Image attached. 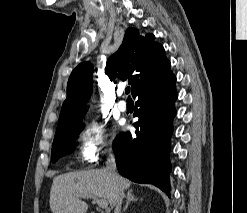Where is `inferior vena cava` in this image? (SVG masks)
<instances>
[{"instance_id":"inferior-vena-cava-1","label":"inferior vena cava","mask_w":247,"mask_h":213,"mask_svg":"<svg viewBox=\"0 0 247 213\" xmlns=\"http://www.w3.org/2000/svg\"><path fill=\"white\" fill-rule=\"evenodd\" d=\"M106 169L109 172L110 176L114 180H116L118 174H117L116 160H115V156H114L113 153L109 154V158L107 159V163H106ZM122 197H123L122 190L121 189H117L116 205H115L114 213H121Z\"/></svg>"}]
</instances>
